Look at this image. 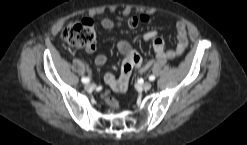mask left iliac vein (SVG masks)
<instances>
[{"label":"left iliac vein","instance_id":"4c4485c4","mask_svg":"<svg viewBox=\"0 0 247 145\" xmlns=\"http://www.w3.org/2000/svg\"><path fill=\"white\" fill-rule=\"evenodd\" d=\"M152 87V83L151 82H145L143 84L140 85V88L147 91L150 90Z\"/></svg>","mask_w":247,"mask_h":145}]
</instances>
